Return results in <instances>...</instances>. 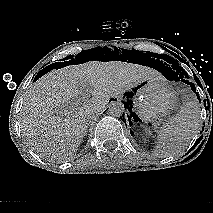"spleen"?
Instances as JSON below:
<instances>
[{
  "label": "spleen",
  "mask_w": 213,
  "mask_h": 213,
  "mask_svg": "<svg viewBox=\"0 0 213 213\" xmlns=\"http://www.w3.org/2000/svg\"><path fill=\"white\" fill-rule=\"evenodd\" d=\"M200 127L199 103L195 96H191L178 113L160 128L157 148L166 155L186 148Z\"/></svg>",
  "instance_id": "obj_1"
}]
</instances>
